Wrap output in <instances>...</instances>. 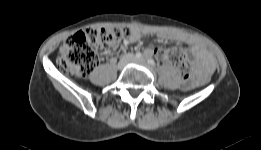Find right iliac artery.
Here are the masks:
<instances>
[{
  "label": "right iliac artery",
  "instance_id": "right-iliac-artery-1",
  "mask_svg": "<svg viewBox=\"0 0 261 150\" xmlns=\"http://www.w3.org/2000/svg\"><path fill=\"white\" fill-rule=\"evenodd\" d=\"M135 57H136L137 59H140V58L142 57V54H141L140 52H137L136 55H135Z\"/></svg>",
  "mask_w": 261,
  "mask_h": 150
}]
</instances>
